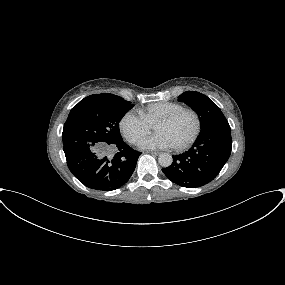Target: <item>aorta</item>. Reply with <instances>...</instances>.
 Masks as SVG:
<instances>
[{
    "mask_svg": "<svg viewBox=\"0 0 285 285\" xmlns=\"http://www.w3.org/2000/svg\"><path fill=\"white\" fill-rule=\"evenodd\" d=\"M158 162L162 167H169L173 162V158L169 153H161Z\"/></svg>",
    "mask_w": 285,
    "mask_h": 285,
    "instance_id": "1",
    "label": "aorta"
}]
</instances>
